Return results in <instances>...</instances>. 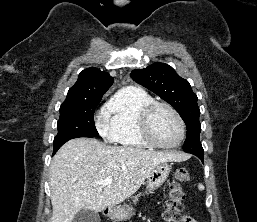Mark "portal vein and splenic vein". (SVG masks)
<instances>
[{"instance_id": "1", "label": "portal vein and splenic vein", "mask_w": 257, "mask_h": 222, "mask_svg": "<svg viewBox=\"0 0 257 222\" xmlns=\"http://www.w3.org/2000/svg\"><path fill=\"white\" fill-rule=\"evenodd\" d=\"M112 181H113V179L111 177H107L97 183L106 186V185H110L112 183Z\"/></svg>"}]
</instances>
